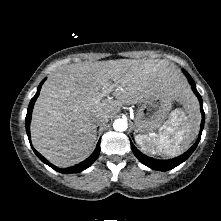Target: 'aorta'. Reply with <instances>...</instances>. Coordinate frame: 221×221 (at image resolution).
Here are the masks:
<instances>
[{"mask_svg":"<svg viewBox=\"0 0 221 221\" xmlns=\"http://www.w3.org/2000/svg\"><path fill=\"white\" fill-rule=\"evenodd\" d=\"M128 127L127 121L125 119H116L113 123V128L116 131H126Z\"/></svg>","mask_w":221,"mask_h":221,"instance_id":"obj_1","label":"aorta"}]
</instances>
